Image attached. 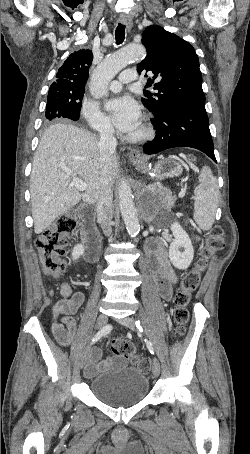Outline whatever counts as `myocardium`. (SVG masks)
Wrapping results in <instances>:
<instances>
[{"label":"myocardium","instance_id":"f54148a6","mask_svg":"<svg viewBox=\"0 0 250 454\" xmlns=\"http://www.w3.org/2000/svg\"><path fill=\"white\" fill-rule=\"evenodd\" d=\"M140 126H141V131L139 134L134 135V136L127 135L125 137V139L128 142L142 143V142L149 140L153 136V129L146 121H142Z\"/></svg>","mask_w":250,"mask_h":454}]
</instances>
